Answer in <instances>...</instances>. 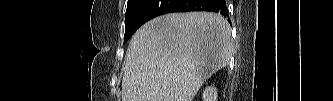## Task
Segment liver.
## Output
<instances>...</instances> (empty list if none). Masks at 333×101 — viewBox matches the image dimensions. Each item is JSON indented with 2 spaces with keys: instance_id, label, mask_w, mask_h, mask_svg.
Listing matches in <instances>:
<instances>
[{
  "instance_id": "1",
  "label": "liver",
  "mask_w": 333,
  "mask_h": 101,
  "mask_svg": "<svg viewBox=\"0 0 333 101\" xmlns=\"http://www.w3.org/2000/svg\"><path fill=\"white\" fill-rule=\"evenodd\" d=\"M231 27L212 12L170 13L133 35L126 53L122 101H193L231 58Z\"/></svg>"
}]
</instances>
